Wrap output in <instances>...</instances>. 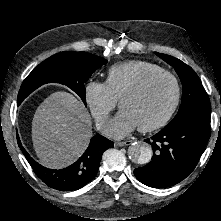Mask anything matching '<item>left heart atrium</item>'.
<instances>
[{"label": "left heart atrium", "mask_w": 221, "mask_h": 221, "mask_svg": "<svg viewBox=\"0 0 221 221\" xmlns=\"http://www.w3.org/2000/svg\"><path fill=\"white\" fill-rule=\"evenodd\" d=\"M137 127V122L133 116L126 110L120 109L112 119L103 125V131L111 137L122 138Z\"/></svg>", "instance_id": "obj_1"}]
</instances>
